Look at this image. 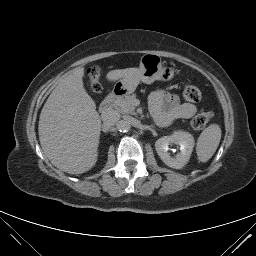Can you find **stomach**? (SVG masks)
I'll use <instances>...</instances> for the list:
<instances>
[{"label": "stomach", "instance_id": "0dacf381", "mask_svg": "<svg viewBox=\"0 0 256 256\" xmlns=\"http://www.w3.org/2000/svg\"><path fill=\"white\" fill-rule=\"evenodd\" d=\"M174 78V69L162 65L160 57L155 54H145L141 57L140 67L132 75H127L117 81L114 91L119 95L131 94L140 81L150 84L155 80L170 81Z\"/></svg>", "mask_w": 256, "mask_h": 256}]
</instances>
